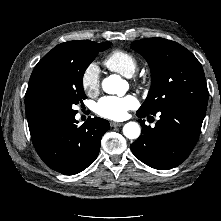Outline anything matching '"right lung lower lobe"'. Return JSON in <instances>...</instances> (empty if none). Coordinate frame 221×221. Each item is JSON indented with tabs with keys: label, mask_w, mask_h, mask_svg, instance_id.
<instances>
[{
	"label": "right lung lower lobe",
	"mask_w": 221,
	"mask_h": 221,
	"mask_svg": "<svg viewBox=\"0 0 221 221\" xmlns=\"http://www.w3.org/2000/svg\"><path fill=\"white\" fill-rule=\"evenodd\" d=\"M76 110L51 103L26 106V115L34 147L51 169L74 175L97 158L103 134L109 122L98 117L78 126Z\"/></svg>",
	"instance_id": "obj_1"
}]
</instances>
